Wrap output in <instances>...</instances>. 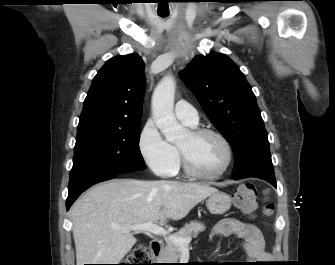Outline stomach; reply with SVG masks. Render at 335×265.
<instances>
[{
	"mask_svg": "<svg viewBox=\"0 0 335 265\" xmlns=\"http://www.w3.org/2000/svg\"><path fill=\"white\" fill-rule=\"evenodd\" d=\"M206 206L212 214H224L231 207V196L225 192L216 191L208 197Z\"/></svg>",
	"mask_w": 335,
	"mask_h": 265,
	"instance_id": "0dacf381",
	"label": "stomach"
}]
</instances>
